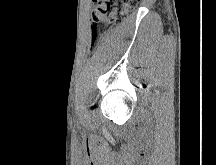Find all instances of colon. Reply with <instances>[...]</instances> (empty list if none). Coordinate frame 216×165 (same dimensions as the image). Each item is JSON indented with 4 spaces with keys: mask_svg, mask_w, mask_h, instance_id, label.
Returning <instances> with one entry per match:
<instances>
[{
    "mask_svg": "<svg viewBox=\"0 0 216 165\" xmlns=\"http://www.w3.org/2000/svg\"><path fill=\"white\" fill-rule=\"evenodd\" d=\"M96 9L92 17V37L95 38L100 26L124 20L127 13L134 9L139 0H94Z\"/></svg>",
    "mask_w": 216,
    "mask_h": 165,
    "instance_id": "obj_1",
    "label": "colon"
}]
</instances>
